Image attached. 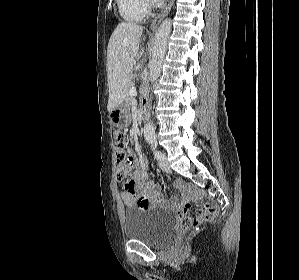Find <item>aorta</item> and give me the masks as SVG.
Segmentation results:
<instances>
[{
	"mask_svg": "<svg viewBox=\"0 0 299 280\" xmlns=\"http://www.w3.org/2000/svg\"><path fill=\"white\" fill-rule=\"evenodd\" d=\"M171 28V20L166 19L162 22L161 26L158 28L155 34V40L149 64V77L151 82H155L160 77L162 71V63L167 52L168 39L171 33ZM144 136L147 140H153L155 138V128L152 123H147L145 125Z\"/></svg>",
	"mask_w": 299,
	"mask_h": 280,
	"instance_id": "aorta-1",
	"label": "aorta"
}]
</instances>
